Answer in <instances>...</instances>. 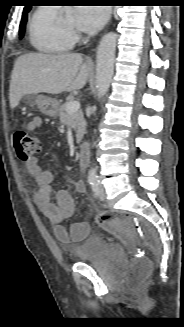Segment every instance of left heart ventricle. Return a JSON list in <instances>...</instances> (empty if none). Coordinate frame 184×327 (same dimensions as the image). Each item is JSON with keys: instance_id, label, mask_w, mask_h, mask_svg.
<instances>
[{"instance_id": "1", "label": "left heart ventricle", "mask_w": 184, "mask_h": 327, "mask_svg": "<svg viewBox=\"0 0 184 327\" xmlns=\"http://www.w3.org/2000/svg\"><path fill=\"white\" fill-rule=\"evenodd\" d=\"M62 25L67 28H75L77 26V20L75 15L71 14L68 17H66L63 20Z\"/></svg>"}]
</instances>
